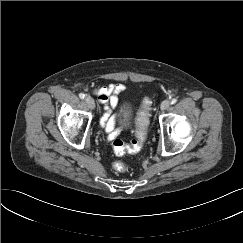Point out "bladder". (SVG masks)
Listing matches in <instances>:
<instances>
[{"label":"bladder","mask_w":243,"mask_h":243,"mask_svg":"<svg viewBox=\"0 0 243 243\" xmlns=\"http://www.w3.org/2000/svg\"><path fill=\"white\" fill-rule=\"evenodd\" d=\"M132 115H133V110L131 104L125 103L120 109L121 119L125 124L129 125L131 123Z\"/></svg>","instance_id":"obj_1"}]
</instances>
